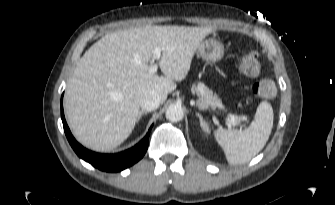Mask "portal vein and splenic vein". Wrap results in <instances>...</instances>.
Returning <instances> with one entry per match:
<instances>
[{
  "mask_svg": "<svg viewBox=\"0 0 335 205\" xmlns=\"http://www.w3.org/2000/svg\"><path fill=\"white\" fill-rule=\"evenodd\" d=\"M161 52H162V48H159L157 47L155 50H154V57L155 59L159 60L160 58V55H161ZM157 64H152L150 67H149V72L150 73H156L157 72ZM238 120L239 118L237 116H234V115H230L228 118H227V122H228V126L230 127L231 125H238Z\"/></svg>",
  "mask_w": 335,
  "mask_h": 205,
  "instance_id": "18ae733b",
  "label": "portal vein and splenic vein"
}]
</instances>
